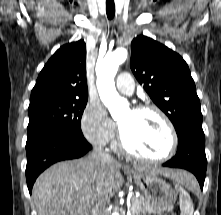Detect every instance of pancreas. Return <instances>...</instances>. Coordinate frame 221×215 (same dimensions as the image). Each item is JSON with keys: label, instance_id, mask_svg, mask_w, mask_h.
<instances>
[{"label": "pancreas", "instance_id": "pancreas-1", "mask_svg": "<svg viewBox=\"0 0 221 215\" xmlns=\"http://www.w3.org/2000/svg\"><path fill=\"white\" fill-rule=\"evenodd\" d=\"M130 210L132 215H140L141 213H160L162 211V209L152 205L146 198L135 196L131 198Z\"/></svg>", "mask_w": 221, "mask_h": 215}]
</instances>
